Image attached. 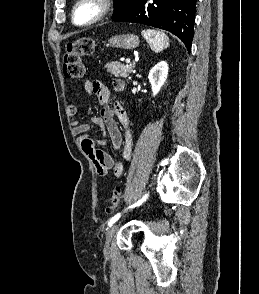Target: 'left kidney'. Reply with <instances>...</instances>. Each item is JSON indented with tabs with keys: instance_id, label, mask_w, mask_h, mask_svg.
<instances>
[{
	"instance_id": "1",
	"label": "left kidney",
	"mask_w": 259,
	"mask_h": 294,
	"mask_svg": "<svg viewBox=\"0 0 259 294\" xmlns=\"http://www.w3.org/2000/svg\"><path fill=\"white\" fill-rule=\"evenodd\" d=\"M168 64L166 61L157 63L149 72L148 79L152 87L153 96L157 95L168 76Z\"/></svg>"
}]
</instances>
